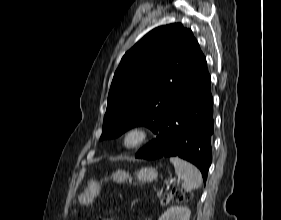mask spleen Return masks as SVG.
Segmentation results:
<instances>
[{"instance_id":"1","label":"spleen","mask_w":281,"mask_h":220,"mask_svg":"<svg viewBox=\"0 0 281 220\" xmlns=\"http://www.w3.org/2000/svg\"><path fill=\"white\" fill-rule=\"evenodd\" d=\"M170 162L174 165L176 175L181 178L184 190L201 187L202 175L194 165L178 157H171Z\"/></svg>"}]
</instances>
